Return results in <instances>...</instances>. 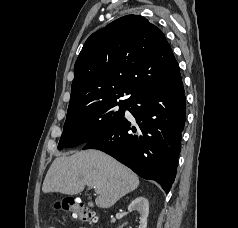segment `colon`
I'll use <instances>...</instances> for the list:
<instances>
[{"instance_id":"5ec220e1","label":"colon","mask_w":238,"mask_h":228,"mask_svg":"<svg viewBox=\"0 0 238 228\" xmlns=\"http://www.w3.org/2000/svg\"><path fill=\"white\" fill-rule=\"evenodd\" d=\"M58 208L64 210L73 211L75 218L82 222H96L97 217L93 212L86 207H77L75 202L71 199L65 200L62 203L58 204ZM42 228H56L53 224L45 223Z\"/></svg>"}]
</instances>
